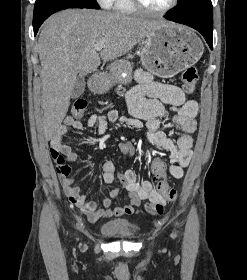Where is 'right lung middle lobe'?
<instances>
[{
	"instance_id": "1",
	"label": "right lung middle lobe",
	"mask_w": 247,
	"mask_h": 280,
	"mask_svg": "<svg viewBox=\"0 0 247 280\" xmlns=\"http://www.w3.org/2000/svg\"><path fill=\"white\" fill-rule=\"evenodd\" d=\"M73 7L100 9L96 0H36L33 23L43 22L51 14Z\"/></svg>"
}]
</instances>
